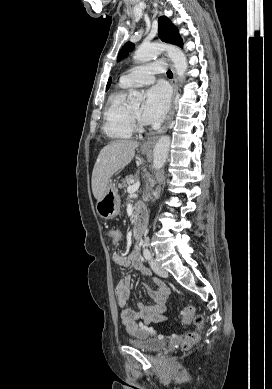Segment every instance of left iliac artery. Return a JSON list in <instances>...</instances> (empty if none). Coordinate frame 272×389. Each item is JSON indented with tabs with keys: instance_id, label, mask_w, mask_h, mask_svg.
<instances>
[{
	"instance_id": "obj_1",
	"label": "left iliac artery",
	"mask_w": 272,
	"mask_h": 389,
	"mask_svg": "<svg viewBox=\"0 0 272 389\" xmlns=\"http://www.w3.org/2000/svg\"><path fill=\"white\" fill-rule=\"evenodd\" d=\"M143 255H144L146 260H150L151 259V252L149 251V249L145 248L144 251H143Z\"/></svg>"
}]
</instances>
